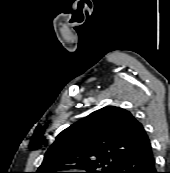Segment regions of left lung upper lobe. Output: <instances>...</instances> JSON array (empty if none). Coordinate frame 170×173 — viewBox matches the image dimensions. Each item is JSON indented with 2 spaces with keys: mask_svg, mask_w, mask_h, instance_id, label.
I'll use <instances>...</instances> for the list:
<instances>
[{
  "mask_svg": "<svg viewBox=\"0 0 170 173\" xmlns=\"http://www.w3.org/2000/svg\"><path fill=\"white\" fill-rule=\"evenodd\" d=\"M150 140L127 110L107 106L63 130L45 153L36 173H113L129 155L143 151Z\"/></svg>",
  "mask_w": 170,
  "mask_h": 173,
  "instance_id": "obj_1",
  "label": "left lung upper lobe"
}]
</instances>
